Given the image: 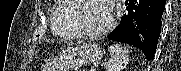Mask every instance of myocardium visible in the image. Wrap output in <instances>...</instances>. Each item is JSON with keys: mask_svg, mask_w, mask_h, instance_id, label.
Masks as SVG:
<instances>
[{"mask_svg": "<svg viewBox=\"0 0 181 71\" xmlns=\"http://www.w3.org/2000/svg\"><path fill=\"white\" fill-rule=\"evenodd\" d=\"M64 1H67V2L71 3V5H72V13L70 16L71 27L79 38L90 39V40L99 39V38H102V37L108 35L116 26L115 10H114V7L111 4V2L108 0H102V1H104L107 4V6L109 7L110 14H111L110 21L106 25V27H104L102 30L96 31V32H91V31L85 30L80 25V22L78 19V14L81 10V6L79 3L80 0H64Z\"/></svg>", "mask_w": 181, "mask_h": 71, "instance_id": "1", "label": "myocardium"}]
</instances>
